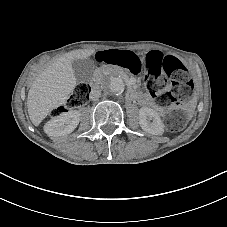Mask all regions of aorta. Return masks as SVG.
<instances>
[{
	"label": "aorta",
	"mask_w": 227,
	"mask_h": 227,
	"mask_svg": "<svg viewBox=\"0 0 227 227\" xmlns=\"http://www.w3.org/2000/svg\"><path fill=\"white\" fill-rule=\"evenodd\" d=\"M101 86L112 94L123 93L125 83L123 78L118 74L110 73L101 82Z\"/></svg>",
	"instance_id": "aorta-1"
}]
</instances>
